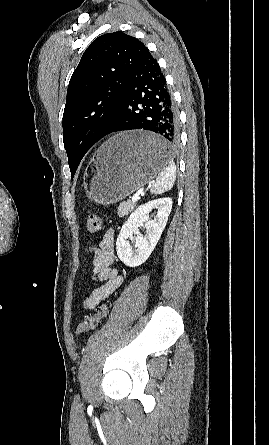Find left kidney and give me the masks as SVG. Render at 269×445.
Returning a JSON list of instances; mask_svg holds the SVG:
<instances>
[{
	"instance_id": "obj_1",
	"label": "left kidney",
	"mask_w": 269,
	"mask_h": 445,
	"mask_svg": "<svg viewBox=\"0 0 269 445\" xmlns=\"http://www.w3.org/2000/svg\"><path fill=\"white\" fill-rule=\"evenodd\" d=\"M172 209L171 198H160L140 205L122 226L116 241L119 259L129 267H137L144 263L154 250L166 226ZM153 212V219L150 213ZM143 226L145 234L138 233V227ZM135 237V250L129 246L128 238Z\"/></svg>"
}]
</instances>
